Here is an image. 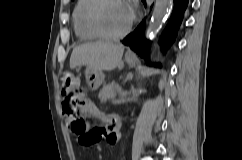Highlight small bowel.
Segmentation results:
<instances>
[{"label":"small bowel","mask_w":242,"mask_h":160,"mask_svg":"<svg viewBox=\"0 0 242 160\" xmlns=\"http://www.w3.org/2000/svg\"><path fill=\"white\" fill-rule=\"evenodd\" d=\"M87 105L90 108L91 112L94 115H97V112L88 103H87ZM63 107H64V105H63ZM106 118L112 119V123L111 124H107L106 121L104 120V122L106 123V128H94V130H96V129L100 130V135L96 139L94 144L98 143L102 139H105L106 142L109 143V144H115L119 140V126H120L119 119L116 116L105 117V119ZM73 122H74V119L68 117L67 123H68L70 129L74 132ZM76 135H78V134H76ZM82 145H84V144H82ZM84 146H88V145H84Z\"/></svg>","instance_id":"1"}]
</instances>
